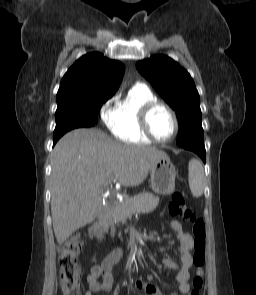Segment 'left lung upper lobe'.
<instances>
[{
	"mask_svg": "<svg viewBox=\"0 0 256 295\" xmlns=\"http://www.w3.org/2000/svg\"><path fill=\"white\" fill-rule=\"evenodd\" d=\"M138 71L176 111L179 120L177 144L180 147L203 142L200 97L190 74L165 55L136 63Z\"/></svg>",
	"mask_w": 256,
	"mask_h": 295,
	"instance_id": "1",
	"label": "left lung upper lobe"
}]
</instances>
